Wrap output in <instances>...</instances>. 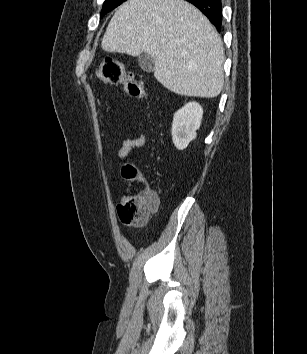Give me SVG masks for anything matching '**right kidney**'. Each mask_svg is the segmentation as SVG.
I'll use <instances>...</instances> for the list:
<instances>
[{
    "label": "right kidney",
    "instance_id": "right-kidney-1",
    "mask_svg": "<svg viewBox=\"0 0 307 354\" xmlns=\"http://www.w3.org/2000/svg\"><path fill=\"white\" fill-rule=\"evenodd\" d=\"M202 116L203 109L196 102L187 103L174 114L172 140L178 150L185 149L196 138Z\"/></svg>",
    "mask_w": 307,
    "mask_h": 354
}]
</instances>
